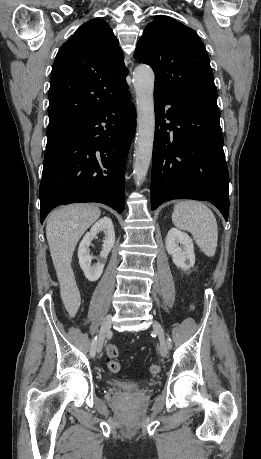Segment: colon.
<instances>
[{"instance_id": "5ec220e1", "label": "colon", "mask_w": 261, "mask_h": 459, "mask_svg": "<svg viewBox=\"0 0 261 459\" xmlns=\"http://www.w3.org/2000/svg\"><path fill=\"white\" fill-rule=\"evenodd\" d=\"M106 354H107V356L109 358L108 361H107L108 369L113 373L119 372L120 364H119L118 361L115 360V358L119 354L118 347L116 345H114V344H109L106 347ZM160 369L161 368H160L159 364H151L150 367H149V371L152 374H158L160 372Z\"/></svg>"}]
</instances>
